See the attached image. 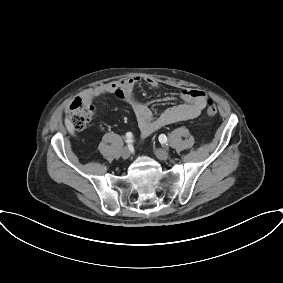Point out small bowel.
<instances>
[{
  "instance_id": "c3829d8e",
  "label": "small bowel",
  "mask_w": 283,
  "mask_h": 283,
  "mask_svg": "<svg viewBox=\"0 0 283 283\" xmlns=\"http://www.w3.org/2000/svg\"><path fill=\"white\" fill-rule=\"evenodd\" d=\"M140 82V77H131L105 83L85 90L82 98L92 101L95 97L111 94L128 104L136 116L143 139L169 124L196 118L206 106L207 95L202 90L187 89L181 93L183 103L163 110L155 118L150 109L151 101L140 100L134 94V89ZM145 83L151 88L159 87V82L154 78H146Z\"/></svg>"
}]
</instances>
